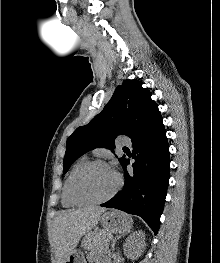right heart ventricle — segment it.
<instances>
[{"label":"right heart ventricle","instance_id":"1","mask_svg":"<svg viewBox=\"0 0 220 263\" xmlns=\"http://www.w3.org/2000/svg\"><path fill=\"white\" fill-rule=\"evenodd\" d=\"M86 162H87V158L85 156L81 157L80 159H78L74 163L72 168L70 169V171H69V173H68V175H67V177L65 179V182H64V185H63V189H62V204L65 207H73V206L77 205L74 202H72L70 200V198H69V194H68L69 181H70L72 175L74 174V172Z\"/></svg>","mask_w":220,"mask_h":263}]
</instances>
